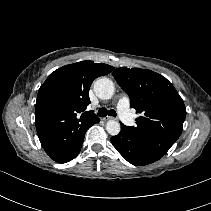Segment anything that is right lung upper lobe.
Returning <instances> with one entry per match:
<instances>
[{
    "instance_id": "1",
    "label": "right lung upper lobe",
    "mask_w": 211,
    "mask_h": 211,
    "mask_svg": "<svg viewBox=\"0 0 211 211\" xmlns=\"http://www.w3.org/2000/svg\"><path fill=\"white\" fill-rule=\"evenodd\" d=\"M113 69L107 64L81 61L55 70L41 85L35 124L41 145L50 157L63 153L77 132L100 121L93 111H86L89 88L94 79Z\"/></svg>"
}]
</instances>
